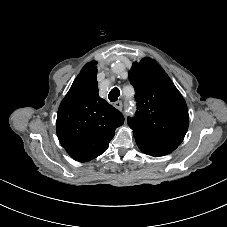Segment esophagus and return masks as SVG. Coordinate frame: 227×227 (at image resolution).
Here are the masks:
<instances>
[{
  "mask_svg": "<svg viewBox=\"0 0 227 227\" xmlns=\"http://www.w3.org/2000/svg\"><path fill=\"white\" fill-rule=\"evenodd\" d=\"M114 106H115L116 109L122 111L123 104H122L121 101L115 102Z\"/></svg>",
  "mask_w": 227,
  "mask_h": 227,
  "instance_id": "34e87169",
  "label": "esophagus"
}]
</instances>
